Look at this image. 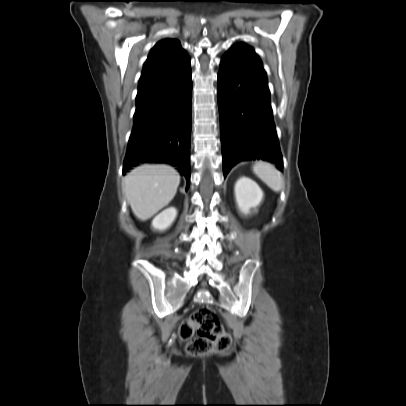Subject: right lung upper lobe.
<instances>
[{"mask_svg": "<svg viewBox=\"0 0 406 406\" xmlns=\"http://www.w3.org/2000/svg\"><path fill=\"white\" fill-rule=\"evenodd\" d=\"M190 66V58L178 40L164 39L151 50L139 80L138 94L159 87Z\"/></svg>", "mask_w": 406, "mask_h": 406, "instance_id": "1", "label": "right lung upper lobe"}]
</instances>
